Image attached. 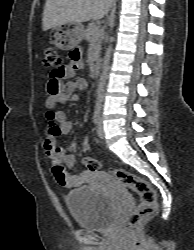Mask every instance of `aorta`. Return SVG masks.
Wrapping results in <instances>:
<instances>
[{
    "mask_svg": "<svg viewBox=\"0 0 194 250\" xmlns=\"http://www.w3.org/2000/svg\"><path fill=\"white\" fill-rule=\"evenodd\" d=\"M110 42H113V37L110 38ZM109 44L105 56L103 58V64H102V70L101 75L98 82V88H97V97L95 101V113H100L102 108V102L104 99V92H105V86H106V80L109 70V64H110V58L112 53V44Z\"/></svg>",
    "mask_w": 194,
    "mask_h": 250,
    "instance_id": "762f6f07",
    "label": "aorta"
}]
</instances>
